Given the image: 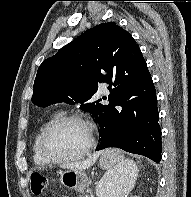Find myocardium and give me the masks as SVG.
Here are the masks:
<instances>
[{
	"label": "myocardium",
	"instance_id": "obj_1",
	"mask_svg": "<svg viewBox=\"0 0 191 197\" xmlns=\"http://www.w3.org/2000/svg\"><path fill=\"white\" fill-rule=\"evenodd\" d=\"M67 121H76L83 124L89 132V142L88 145L85 147L83 151L80 153L69 156V157H62L53 154L47 144V139L51 131L58 126L59 124ZM96 146V135L93 126L82 116L78 114H64L54 117L43 129L40 139H39V148L42 156L50 161L51 163H69L72 161L79 160L89 154L91 150Z\"/></svg>",
	"mask_w": 191,
	"mask_h": 197
}]
</instances>
